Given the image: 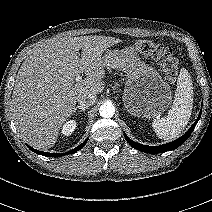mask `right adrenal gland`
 Segmentation results:
<instances>
[{"label": "right adrenal gland", "mask_w": 212, "mask_h": 212, "mask_svg": "<svg viewBox=\"0 0 212 212\" xmlns=\"http://www.w3.org/2000/svg\"><path fill=\"white\" fill-rule=\"evenodd\" d=\"M78 109H80L82 112H85L87 107H83V106H80V105H77L74 109V112H76Z\"/></svg>", "instance_id": "obj_1"}]
</instances>
